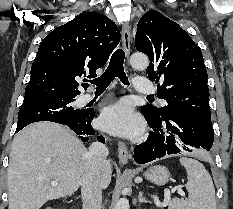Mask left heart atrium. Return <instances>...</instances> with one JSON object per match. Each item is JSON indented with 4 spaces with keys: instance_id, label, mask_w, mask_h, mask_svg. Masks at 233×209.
<instances>
[{
    "instance_id": "39dd6f15",
    "label": "left heart atrium",
    "mask_w": 233,
    "mask_h": 209,
    "mask_svg": "<svg viewBox=\"0 0 233 209\" xmlns=\"http://www.w3.org/2000/svg\"><path fill=\"white\" fill-rule=\"evenodd\" d=\"M98 123L103 130L121 136H134L142 129L140 119L131 106L124 101L104 108Z\"/></svg>"
}]
</instances>
